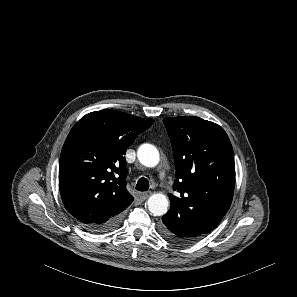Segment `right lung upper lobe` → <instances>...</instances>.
Returning <instances> with one entry per match:
<instances>
[{"label":"right lung upper lobe","mask_w":297,"mask_h":297,"mask_svg":"<svg viewBox=\"0 0 297 297\" xmlns=\"http://www.w3.org/2000/svg\"><path fill=\"white\" fill-rule=\"evenodd\" d=\"M153 122L101 110L83 116L71 129L60 156L59 187L65 207L83 227L103 223L132 203L124 155Z\"/></svg>","instance_id":"obj_1"}]
</instances>
